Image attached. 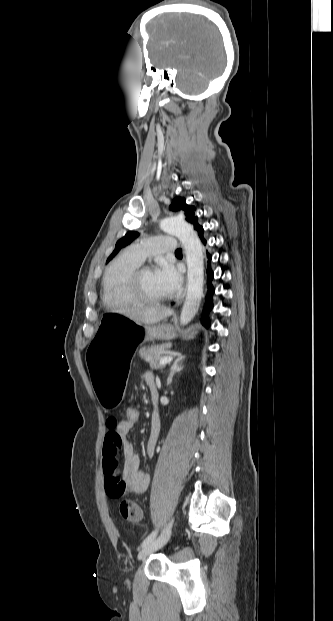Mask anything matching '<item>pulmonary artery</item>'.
<instances>
[{"mask_svg":"<svg viewBox=\"0 0 333 621\" xmlns=\"http://www.w3.org/2000/svg\"><path fill=\"white\" fill-rule=\"evenodd\" d=\"M177 250L176 240L172 236H156L132 244L127 253L142 263L147 257Z\"/></svg>","mask_w":333,"mask_h":621,"instance_id":"pulmonary-artery-1","label":"pulmonary artery"}]
</instances>
